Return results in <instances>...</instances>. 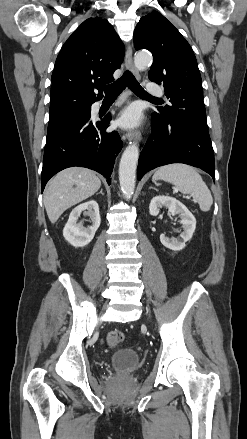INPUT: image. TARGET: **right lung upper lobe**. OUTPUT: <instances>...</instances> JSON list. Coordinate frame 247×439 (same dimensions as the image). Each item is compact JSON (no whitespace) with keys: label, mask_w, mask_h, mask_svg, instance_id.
Returning <instances> with one entry per match:
<instances>
[{"label":"right lung upper lobe","mask_w":247,"mask_h":439,"mask_svg":"<svg viewBox=\"0 0 247 439\" xmlns=\"http://www.w3.org/2000/svg\"><path fill=\"white\" fill-rule=\"evenodd\" d=\"M123 43L113 26L99 17L85 20L67 39L52 74L50 112L79 104H92L96 85L114 80L123 61Z\"/></svg>","instance_id":"obj_1"}]
</instances>
